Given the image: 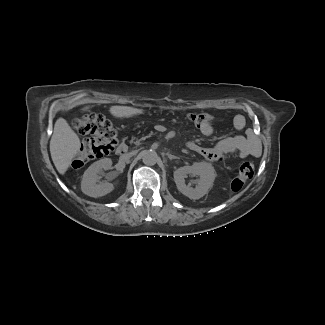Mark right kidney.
I'll list each match as a JSON object with an SVG mask.
<instances>
[{
  "instance_id": "right-kidney-1",
  "label": "right kidney",
  "mask_w": 325,
  "mask_h": 325,
  "mask_svg": "<svg viewBox=\"0 0 325 325\" xmlns=\"http://www.w3.org/2000/svg\"><path fill=\"white\" fill-rule=\"evenodd\" d=\"M112 161L109 158H104L99 161L94 162L89 168L84 172L81 181V190L84 194L90 197H101L114 190V184L105 182L99 183L97 174L102 170H108L111 168Z\"/></svg>"
}]
</instances>
